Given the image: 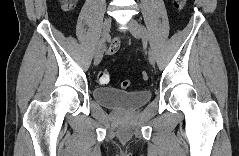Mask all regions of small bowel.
<instances>
[{"instance_id":"small-bowel-1","label":"small bowel","mask_w":239,"mask_h":156,"mask_svg":"<svg viewBox=\"0 0 239 156\" xmlns=\"http://www.w3.org/2000/svg\"><path fill=\"white\" fill-rule=\"evenodd\" d=\"M120 44H121V42L118 38L114 39L113 42L111 43V45L109 46L107 53L109 55H113V54L117 53V51L120 48Z\"/></svg>"}]
</instances>
